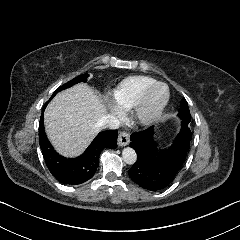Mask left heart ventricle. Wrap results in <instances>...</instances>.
<instances>
[{
  "label": "left heart ventricle",
  "mask_w": 240,
  "mask_h": 240,
  "mask_svg": "<svg viewBox=\"0 0 240 240\" xmlns=\"http://www.w3.org/2000/svg\"><path fill=\"white\" fill-rule=\"evenodd\" d=\"M164 94L163 88H157L154 95L152 96V102L156 103L158 102Z\"/></svg>",
  "instance_id": "1"
}]
</instances>
